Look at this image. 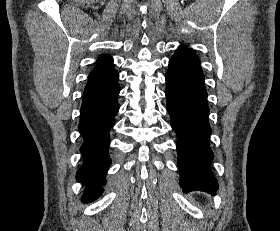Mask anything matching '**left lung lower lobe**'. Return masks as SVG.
<instances>
[{
	"label": "left lung lower lobe",
	"mask_w": 280,
	"mask_h": 231,
	"mask_svg": "<svg viewBox=\"0 0 280 231\" xmlns=\"http://www.w3.org/2000/svg\"><path fill=\"white\" fill-rule=\"evenodd\" d=\"M165 80L167 111L177 134L180 186L185 193L200 190L214 194L218 183L209 168L213 153L208 143L211 128L204 75L168 69Z\"/></svg>",
	"instance_id": "0a47b994"
}]
</instances>
